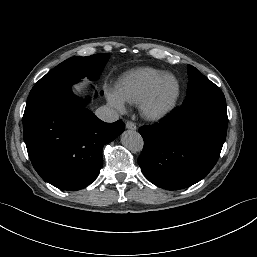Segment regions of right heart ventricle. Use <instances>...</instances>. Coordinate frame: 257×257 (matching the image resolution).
Here are the masks:
<instances>
[{"mask_svg":"<svg viewBox=\"0 0 257 257\" xmlns=\"http://www.w3.org/2000/svg\"><path fill=\"white\" fill-rule=\"evenodd\" d=\"M164 74L162 70L149 67L129 71L118 80L116 92L123 101L140 104L153 84Z\"/></svg>","mask_w":257,"mask_h":257,"instance_id":"right-heart-ventricle-1","label":"right heart ventricle"}]
</instances>
